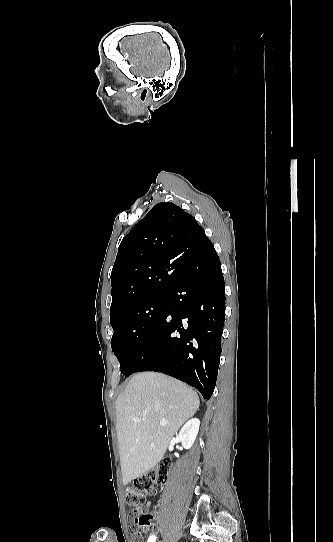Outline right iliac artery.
Wrapping results in <instances>:
<instances>
[{
    "instance_id": "right-iliac-artery-1",
    "label": "right iliac artery",
    "mask_w": 333,
    "mask_h": 542,
    "mask_svg": "<svg viewBox=\"0 0 333 542\" xmlns=\"http://www.w3.org/2000/svg\"><path fill=\"white\" fill-rule=\"evenodd\" d=\"M155 540H156L155 536H150L148 539V542H155Z\"/></svg>"
}]
</instances>
